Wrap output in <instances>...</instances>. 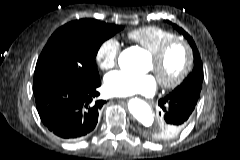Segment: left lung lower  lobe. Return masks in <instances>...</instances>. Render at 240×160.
Wrapping results in <instances>:
<instances>
[{"label": "left lung lower lobe", "instance_id": "left-lung-lower-lobe-1", "mask_svg": "<svg viewBox=\"0 0 240 160\" xmlns=\"http://www.w3.org/2000/svg\"><path fill=\"white\" fill-rule=\"evenodd\" d=\"M197 102L198 100L193 97L172 94L160 99L159 106L162 109V125L164 127L160 132L155 133L151 130L144 134L154 140L173 138L185 126Z\"/></svg>", "mask_w": 240, "mask_h": 160}]
</instances>
